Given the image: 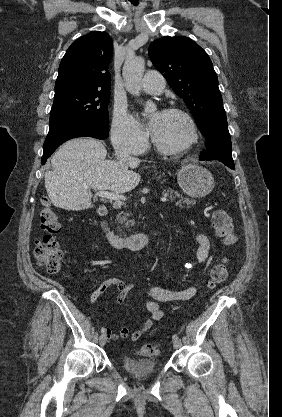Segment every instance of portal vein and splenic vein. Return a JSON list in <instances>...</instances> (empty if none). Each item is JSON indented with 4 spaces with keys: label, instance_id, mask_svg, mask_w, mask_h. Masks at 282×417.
<instances>
[{
    "label": "portal vein and splenic vein",
    "instance_id": "obj_1",
    "mask_svg": "<svg viewBox=\"0 0 282 417\" xmlns=\"http://www.w3.org/2000/svg\"><path fill=\"white\" fill-rule=\"evenodd\" d=\"M98 196H102V198H109V200H125L124 194L122 192H109V190H98L96 192ZM163 203L172 202V199L167 198L166 195H163L161 198Z\"/></svg>",
    "mask_w": 282,
    "mask_h": 417
}]
</instances>
